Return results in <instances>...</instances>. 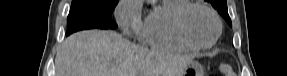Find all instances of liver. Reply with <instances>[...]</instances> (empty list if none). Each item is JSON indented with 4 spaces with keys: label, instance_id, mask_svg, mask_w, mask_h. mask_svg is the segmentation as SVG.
Returning a JSON list of instances; mask_svg holds the SVG:
<instances>
[{
    "label": "liver",
    "instance_id": "6515ba94",
    "mask_svg": "<svg viewBox=\"0 0 287 76\" xmlns=\"http://www.w3.org/2000/svg\"><path fill=\"white\" fill-rule=\"evenodd\" d=\"M192 56L147 50L113 31L88 30L63 42L56 76H181Z\"/></svg>",
    "mask_w": 287,
    "mask_h": 76
}]
</instances>
